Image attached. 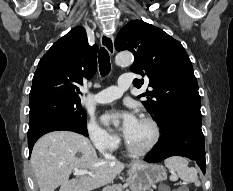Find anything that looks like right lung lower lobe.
Instances as JSON below:
<instances>
[{"instance_id": "right-lung-lower-lobe-1", "label": "right lung lower lobe", "mask_w": 233, "mask_h": 191, "mask_svg": "<svg viewBox=\"0 0 233 191\" xmlns=\"http://www.w3.org/2000/svg\"><path fill=\"white\" fill-rule=\"evenodd\" d=\"M56 130L73 131L76 133H80L84 136H88V132L86 128H82L81 126L72 123L70 121L61 120V119H42L36 122L35 124L29 126V130H28L29 155L31 154L33 145L42 135Z\"/></svg>"}]
</instances>
